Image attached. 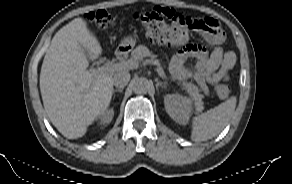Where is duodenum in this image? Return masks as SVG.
Instances as JSON below:
<instances>
[{"label":"duodenum","instance_id":"obj_1","mask_svg":"<svg viewBox=\"0 0 292 184\" xmlns=\"http://www.w3.org/2000/svg\"><path fill=\"white\" fill-rule=\"evenodd\" d=\"M127 54V50L125 48H119L115 51V57L117 59H123Z\"/></svg>","mask_w":292,"mask_h":184}]
</instances>
